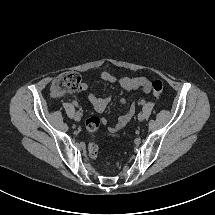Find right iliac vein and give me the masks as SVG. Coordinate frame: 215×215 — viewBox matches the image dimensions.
<instances>
[{
    "label": "right iliac vein",
    "instance_id": "63e3f726",
    "mask_svg": "<svg viewBox=\"0 0 215 215\" xmlns=\"http://www.w3.org/2000/svg\"><path fill=\"white\" fill-rule=\"evenodd\" d=\"M74 120L77 121V122H79V121L81 120V116H80L79 113H76V114L74 115Z\"/></svg>",
    "mask_w": 215,
    "mask_h": 215
}]
</instances>
